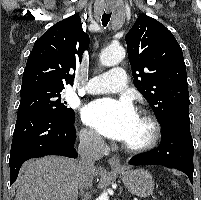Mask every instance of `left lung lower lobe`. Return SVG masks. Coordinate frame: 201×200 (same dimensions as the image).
I'll use <instances>...</instances> for the list:
<instances>
[{
	"instance_id": "0a47b994",
	"label": "left lung lower lobe",
	"mask_w": 201,
	"mask_h": 200,
	"mask_svg": "<svg viewBox=\"0 0 201 200\" xmlns=\"http://www.w3.org/2000/svg\"><path fill=\"white\" fill-rule=\"evenodd\" d=\"M193 141L189 115H174L161 123V143L149 152L132 157L130 165H163L178 169L193 184Z\"/></svg>"
}]
</instances>
